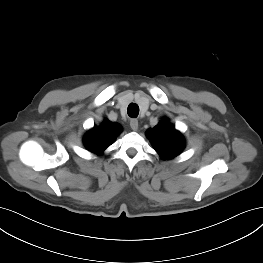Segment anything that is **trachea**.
<instances>
[{"label":"trachea","instance_id":"3493384b","mask_svg":"<svg viewBox=\"0 0 263 263\" xmlns=\"http://www.w3.org/2000/svg\"><path fill=\"white\" fill-rule=\"evenodd\" d=\"M129 117L136 118L139 114V106L135 103H130L127 108Z\"/></svg>","mask_w":263,"mask_h":263}]
</instances>
